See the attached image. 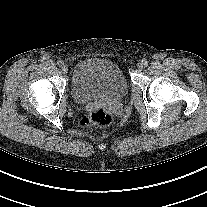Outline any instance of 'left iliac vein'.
<instances>
[{"instance_id":"4c4485c4","label":"left iliac vein","mask_w":207,"mask_h":207,"mask_svg":"<svg viewBox=\"0 0 207 207\" xmlns=\"http://www.w3.org/2000/svg\"><path fill=\"white\" fill-rule=\"evenodd\" d=\"M137 68H138V69H142V68H144V64H143V62H138V63H137Z\"/></svg>"}]
</instances>
